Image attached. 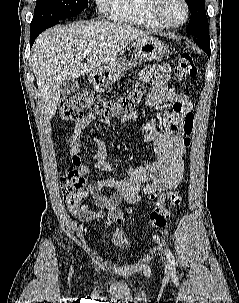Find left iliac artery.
I'll return each mask as SVG.
<instances>
[{"mask_svg": "<svg viewBox=\"0 0 239 303\" xmlns=\"http://www.w3.org/2000/svg\"><path fill=\"white\" fill-rule=\"evenodd\" d=\"M166 257H167V259H168L169 266H170L171 268H174V267H175V258H174V256H173L171 250L168 249V248L166 249Z\"/></svg>", "mask_w": 239, "mask_h": 303, "instance_id": "obj_1", "label": "left iliac artery"}]
</instances>
